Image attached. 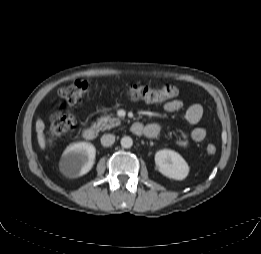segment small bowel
<instances>
[{
  "mask_svg": "<svg viewBox=\"0 0 261 254\" xmlns=\"http://www.w3.org/2000/svg\"><path fill=\"white\" fill-rule=\"evenodd\" d=\"M183 107V102L179 99L168 101L164 104V109L167 112H176ZM203 117V107L200 104H192L188 107L185 113V120L191 124H198ZM142 125V124H141ZM143 132L148 138L157 137L160 134V126L154 123L142 125ZM206 137V129L202 126H196L189 131H182L179 134L177 143L182 147L188 146L191 142H201Z\"/></svg>",
  "mask_w": 261,
  "mask_h": 254,
  "instance_id": "1",
  "label": "small bowel"
}]
</instances>
